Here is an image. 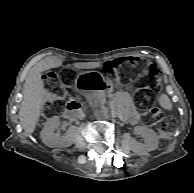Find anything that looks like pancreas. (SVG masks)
I'll use <instances>...</instances> for the list:
<instances>
[{"mask_svg":"<svg viewBox=\"0 0 194 193\" xmlns=\"http://www.w3.org/2000/svg\"><path fill=\"white\" fill-rule=\"evenodd\" d=\"M99 97H96L95 98V101L97 103H100V104H103L105 101H110L112 99V96L111 95H106L105 94H99L98 95Z\"/></svg>","mask_w":194,"mask_h":193,"instance_id":"obj_1","label":"pancreas"}]
</instances>
